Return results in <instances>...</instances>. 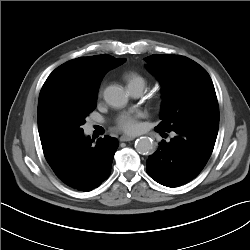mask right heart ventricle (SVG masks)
I'll return each mask as SVG.
<instances>
[{"instance_id": "e07e8e85", "label": "right heart ventricle", "mask_w": 250, "mask_h": 250, "mask_svg": "<svg viewBox=\"0 0 250 250\" xmlns=\"http://www.w3.org/2000/svg\"><path fill=\"white\" fill-rule=\"evenodd\" d=\"M124 78L127 82V85H131V84H143V85H145L144 77L137 72L129 71L124 75Z\"/></svg>"}]
</instances>
